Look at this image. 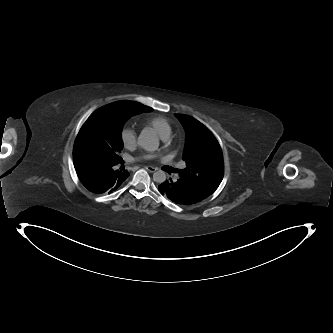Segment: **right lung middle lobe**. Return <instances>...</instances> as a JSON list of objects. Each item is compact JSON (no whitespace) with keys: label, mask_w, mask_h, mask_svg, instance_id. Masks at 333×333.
Wrapping results in <instances>:
<instances>
[{"label":"right lung middle lobe","mask_w":333,"mask_h":333,"mask_svg":"<svg viewBox=\"0 0 333 333\" xmlns=\"http://www.w3.org/2000/svg\"><path fill=\"white\" fill-rule=\"evenodd\" d=\"M134 115V109L114 106L112 103L96 110L77 135L73 160L95 165L119 163L123 149L122 128Z\"/></svg>","instance_id":"dd1d6c3e"}]
</instances>
